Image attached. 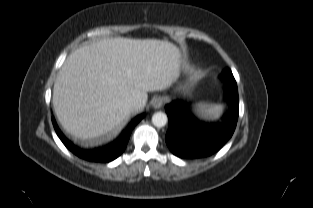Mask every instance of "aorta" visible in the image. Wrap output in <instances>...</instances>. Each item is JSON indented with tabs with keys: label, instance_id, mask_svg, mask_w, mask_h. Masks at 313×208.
Listing matches in <instances>:
<instances>
[{
	"label": "aorta",
	"instance_id": "762f6f07",
	"mask_svg": "<svg viewBox=\"0 0 313 208\" xmlns=\"http://www.w3.org/2000/svg\"><path fill=\"white\" fill-rule=\"evenodd\" d=\"M167 122H168V117L163 112H156L152 116V123L156 127H163L167 124Z\"/></svg>",
	"mask_w": 313,
	"mask_h": 208
}]
</instances>
